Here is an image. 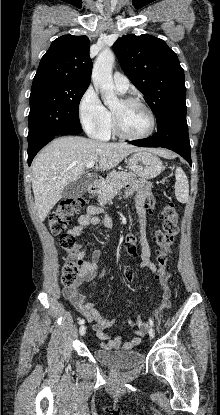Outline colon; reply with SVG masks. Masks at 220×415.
Returning <instances> with one entry per match:
<instances>
[{
  "label": "colon",
  "mask_w": 220,
  "mask_h": 415,
  "mask_svg": "<svg viewBox=\"0 0 220 415\" xmlns=\"http://www.w3.org/2000/svg\"><path fill=\"white\" fill-rule=\"evenodd\" d=\"M85 199L82 196L69 198L57 205L50 213L48 226L51 232L59 236L61 248L67 253L63 264L61 281L65 286H72L78 279L81 261L78 254L80 245L76 238L69 234L72 225V217L85 206ZM160 217L162 220L161 229L156 232V256H157V279L162 287V300L160 310L164 311L171 307V276L167 271V261L172 252V245L178 232V213L173 204L163 206ZM126 252L130 255L136 252V244L125 245ZM124 279L131 282L133 272L131 269L124 270Z\"/></svg>",
  "instance_id": "obj_1"
}]
</instances>
